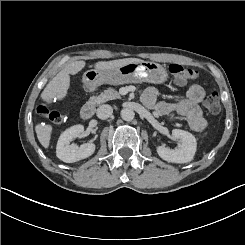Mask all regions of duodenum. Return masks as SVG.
Returning a JSON list of instances; mask_svg holds the SVG:
<instances>
[{
    "instance_id": "410a0bca",
    "label": "duodenum",
    "mask_w": 245,
    "mask_h": 245,
    "mask_svg": "<svg viewBox=\"0 0 245 245\" xmlns=\"http://www.w3.org/2000/svg\"><path fill=\"white\" fill-rule=\"evenodd\" d=\"M95 107L93 103H86L80 111L83 119H90L94 115Z\"/></svg>"
}]
</instances>
